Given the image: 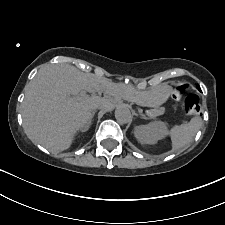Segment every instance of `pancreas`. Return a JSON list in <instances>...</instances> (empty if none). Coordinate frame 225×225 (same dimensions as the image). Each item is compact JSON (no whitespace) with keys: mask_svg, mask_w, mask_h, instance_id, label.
I'll return each instance as SVG.
<instances>
[{"mask_svg":"<svg viewBox=\"0 0 225 225\" xmlns=\"http://www.w3.org/2000/svg\"><path fill=\"white\" fill-rule=\"evenodd\" d=\"M150 113V117L151 118H155L159 115H162L164 113V108H155V109H151L149 110Z\"/></svg>","mask_w":225,"mask_h":225,"instance_id":"1","label":"pancreas"}]
</instances>
